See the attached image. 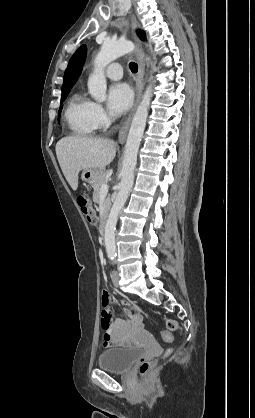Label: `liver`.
Masks as SVG:
<instances>
[{"label":"liver","instance_id":"liver-1","mask_svg":"<svg viewBox=\"0 0 255 418\" xmlns=\"http://www.w3.org/2000/svg\"><path fill=\"white\" fill-rule=\"evenodd\" d=\"M116 154V143L110 139L69 136L56 144V155L61 170L71 186L78 188V174L84 169L103 170Z\"/></svg>","mask_w":255,"mask_h":418}]
</instances>
